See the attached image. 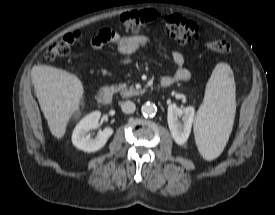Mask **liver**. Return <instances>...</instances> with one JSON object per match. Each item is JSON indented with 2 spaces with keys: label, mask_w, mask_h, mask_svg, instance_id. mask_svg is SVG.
Segmentation results:
<instances>
[{
  "label": "liver",
  "mask_w": 275,
  "mask_h": 215,
  "mask_svg": "<svg viewBox=\"0 0 275 215\" xmlns=\"http://www.w3.org/2000/svg\"><path fill=\"white\" fill-rule=\"evenodd\" d=\"M31 80L50 132L61 139L70 117L79 109L83 83L76 75L47 65L33 66Z\"/></svg>",
  "instance_id": "1"
}]
</instances>
